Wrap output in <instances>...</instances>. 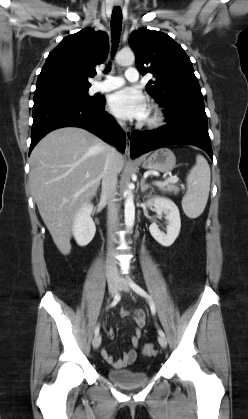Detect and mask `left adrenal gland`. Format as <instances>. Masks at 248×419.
<instances>
[{"instance_id":"1","label":"left adrenal gland","mask_w":248,"mask_h":419,"mask_svg":"<svg viewBox=\"0 0 248 419\" xmlns=\"http://www.w3.org/2000/svg\"><path fill=\"white\" fill-rule=\"evenodd\" d=\"M140 186H141V192H145L148 188H152L151 185L145 183V179L144 178L141 179Z\"/></svg>"}]
</instances>
